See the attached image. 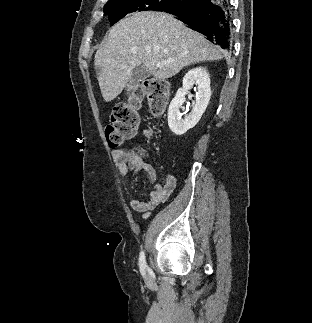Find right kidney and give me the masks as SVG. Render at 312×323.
<instances>
[{
    "label": "right kidney",
    "instance_id": "right-kidney-1",
    "mask_svg": "<svg viewBox=\"0 0 312 323\" xmlns=\"http://www.w3.org/2000/svg\"><path fill=\"white\" fill-rule=\"evenodd\" d=\"M197 86L196 102L192 104V110L185 114L184 120L179 112L185 102V96L188 90ZM210 76L208 70L203 66H197L189 70L183 78V88H179L173 98L168 110V126L176 136L186 134L187 130L194 128L198 124L202 114H204L210 100Z\"/></svg>",
    "mask_w": 312,
    "mask_h": 323
}]
</instances>
